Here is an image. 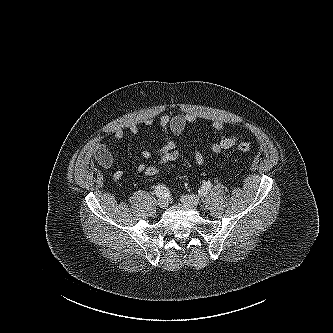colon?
Returning <instances> with one entry per match:
<instances>
[{
    "mask_svg": "<svg viewBox=\"0 0 333 333\" xmlns=\"http://www.w3.org/2000/svg\"><path fill=\"white\" fill-rule=\"evenodd\" d=\"M237 149L247 153L251 150V145L247 142L238 144ZM179 157V152L175 149L159 156V159L153 164L147 165L144 174L149 177L158 176L167 166L175 162Z\"/></svg>",
    "mask_w": 333,
    "mask_h": 333,
    "instance_id": "colon-1",
    "label": "colon"
}]
</instances>
